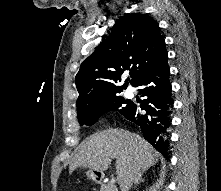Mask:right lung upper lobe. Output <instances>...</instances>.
Here are the masks:
<instances>
[{"label":"right lung upper lobe","instance_id":"1","mask_svg":"<svg viewBox=\"0 0 221 191\" xmlns=\"http://www.w3.org/2000/svg\"><path fill=\"white\" fill-rule=\"evenodd\" d=\"M166 52L164 38L152 17L140 13L122 16L109 37L81 63L75 78L79 92L77 112L118 96L128 83L127 80L122 86L114 83L127 70L134 86Z\"/></svg>","mask_w":221,"mask_h":191}]
</instances>
